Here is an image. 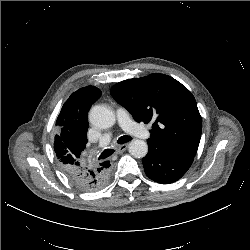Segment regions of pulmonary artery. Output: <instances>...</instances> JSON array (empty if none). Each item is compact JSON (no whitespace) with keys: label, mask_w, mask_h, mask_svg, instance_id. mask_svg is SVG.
<instances>
[{"label":"pulmonary artery","mask_w":250,"mask_h":250,"mask_svg":"<svg viewBox=\"0 0 250 250\" xmlns=\"http://www.w3.org/2000/svg\"><path fill=\"white\" fill-rule=\"evenodd\" d=\"M117 119L125 132L141 139H146L150 136L149 131L142 125L132 121L124 109L120 108L117 110ZM111 137L112 134L110 132L104 134L100 139L99 145H106L110 141Z\"/></svg>","instance_id":"obj_1"}]
</instances>
